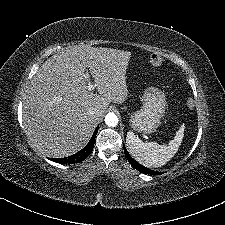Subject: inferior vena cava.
<instances>
[{"label": "inferior vena cava", "mask_w": 225, "mask_h": 225, "mask_svg": "<svg viewBox=\"0 0 225 225\" xmlns=\"http://www.w3.org/2000/svg\"><path fill=\"white\" fill-rule=\"evenodd\" d=\"M90 115H91L92 118H96L97 112L96 111H92V112H90Z\"/></svg>", "instance_id": "1"}]
</instances>
